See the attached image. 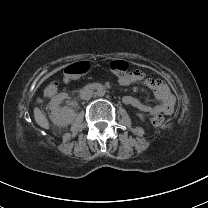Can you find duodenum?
<instances>
[{"instance_id":"1","label":"duodenum","mask_w":208,"mask_h":208,"mask_svg":"<svg viewBox=\"0 0 208 208\" xmlns=\"http://www.w3.org/2000/svg\"><path fill=\"white\" fill-rule=\"evenodd\" d=\"M89 88H91V89H102L103 86L101 84L95 83V84L90 85Z\"/></svg>"}]
</instances>
